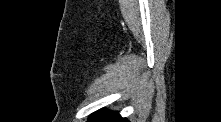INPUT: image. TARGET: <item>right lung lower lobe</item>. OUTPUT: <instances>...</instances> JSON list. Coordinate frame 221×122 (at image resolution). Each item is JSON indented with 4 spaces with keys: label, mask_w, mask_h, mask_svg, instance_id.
Segmentation results:
<instances>
[{
    "label": "right lung lower lobe",
    "mask_w": 221,
    "mask_h": 122,
    "mask_svg": "<svg viewBox=\"0 0 221 122\" xmlns=\"http://www.w3.org/2000/svg\"><path fill=\"white\" fill-rule=\"evenodd\" d=\"M90 119L91 121L98 122H127V120L125 118H121L118 113L107 110H101L92 114Z\"/></svg>",
    "instance_id": "1"
}]
</instances>
